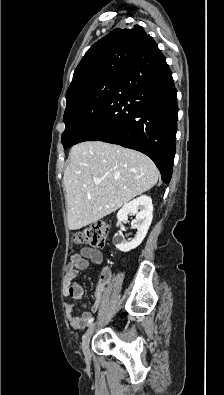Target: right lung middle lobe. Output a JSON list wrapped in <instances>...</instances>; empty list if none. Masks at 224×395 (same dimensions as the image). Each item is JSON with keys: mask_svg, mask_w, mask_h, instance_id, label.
<instances>
[{"mask_svg": "<svg viewBox=\"0 0 224 395\" xmlns=\"http://www.w3.org/2000/svg\"><path fill=\"white\" fill-rule=\"evenodd\" d=\"M121 76L99 79L66 96L62 134L65 149L76 144L94 117L103 109L120 82Z\"/></svg>", "mask_w": 224, "mask_h": 395, "instance_id": "obj_1", "label": "right lung middle lobe"}]
</instances>
